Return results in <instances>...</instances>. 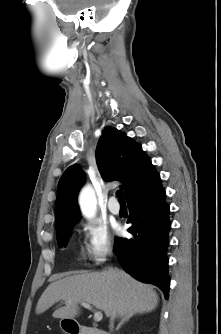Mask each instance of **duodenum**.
<instances>
[{
  "label": "duodenum",
  "instance_id": "1",
  "mask_svg": "<svg viewBox=\"0 0 221 334\" xmlns=\"http://www.w3.org/2000/svg\"><path fill=\"white\" fill-rule=\"evenodd\" d=\"M70 334H109L107 331L95 327H76L68 330Z\"/></svg>",
  "mask_w": 221,
  "mask_h": 334
}]
</instances>
